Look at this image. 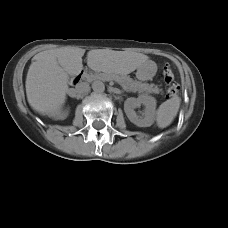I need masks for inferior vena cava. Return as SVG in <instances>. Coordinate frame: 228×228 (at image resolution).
Instances as JSON below:
<instances>
[{
  "mask_svg": "<svg viewBox=\"0 0 228 228\" xmlns=\"http://www.w3.org/2000/svg\"><path fill=\"white\" fill-rule=\"evenodd\" d=\"M90 91V86L87 83H79L74 89H72V97L80 99L84 97Z\"/></svg>",
  "mask_w": 228,
  "mask_h": 228,
  "instance_id": "inferior-vena-cava-1",
  "label": "inferior vena cava"
}]
</instances>
